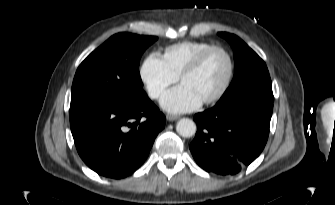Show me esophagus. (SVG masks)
<instances>
[{
	"label": "esophagus",
	"instance_id": "esophagus-1",
	"mask_svg": "<svg viewBox=\"0 0 335 205\" xmlns=\"http://www.w3.org/2000/svg\"><path fill=\"white\" fill-rule=\"evenodd\" d=\"M166 119L168 120V121H175V120H177L178 119V116H176V115H167L166 116Z\"/></svg>",
	"mask_w": 335,
	"mask_h": 205
}]
</instances>
